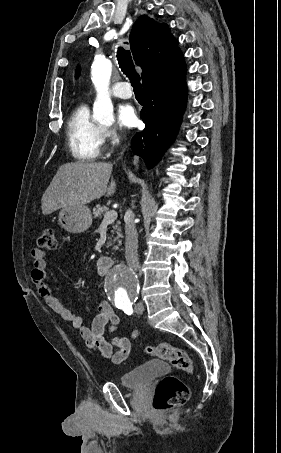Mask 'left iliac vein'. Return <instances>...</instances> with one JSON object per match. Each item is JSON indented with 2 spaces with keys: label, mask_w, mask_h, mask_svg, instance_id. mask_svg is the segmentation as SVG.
Instances as JSON below:
<instances>
[{
  "label": "left iliac vein",
  "mask_w": 281,
  "mask_h": 453,
  "mask_svg": "<svg viewBox=\"0 0 281 453\" xmlns=\"http://www.w3.org/2000/svg\"><path fill=\"white\" fill-rule=\"evenodd\" d=\"M145 307H143V302H139L138 304L135 305V311L137 314H142L143 310H144Z\"/></svg>",
  "instance_id": "1"
}]
</instances>
